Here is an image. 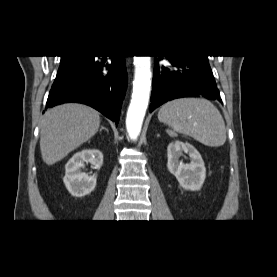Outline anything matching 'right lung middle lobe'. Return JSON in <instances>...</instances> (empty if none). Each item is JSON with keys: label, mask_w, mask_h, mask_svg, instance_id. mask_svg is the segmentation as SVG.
<instances>
[{"label": "right lung middle lobe", "mask_w": 277, "mask_h": 277, "mask_svg": "<svg viewBox=\"0 0 277 277\" xmlns=\"http://www.w3.org/2000/svg\"><path fill=\"white\" fill-rule=\"evenodd\" d=\"M87 56L85 55H71V56H62L61 57V62H60V67L58 69L57 77L60 75H63L66 73L68 70L74 68L75 66L79 65L82 63Z\"/></svg>", "instance_id": "obj_1"}]
</instances>
